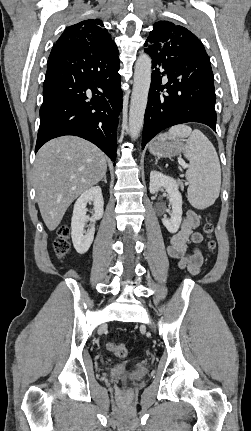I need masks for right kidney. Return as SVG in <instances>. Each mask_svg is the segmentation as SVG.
<instances>
[{
  "instance_id": "ca27d5eb",
  "label": "right kidney",
  "mask_w": 251,
  "mask_h": 431,
  "mask_svg": "<svg viewBox=\"0 0 251 431\" xmlns=\"http://www.w3.org/2000/svg\"><path fill=\"white\" fill-rule=\"evenodd\" d=\"M90 202H93L94 214L88 218L86 206ZM103 206L104 200L99 186L89 188L75 202L71 221V236L73 245L79 254L86 253L94 240L95 226L92 225L86 232L84 230L85 223L87 220L95 223L96 220L101 219L104 213Z\"/></svg>"
}]
</instances>
